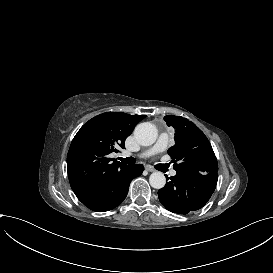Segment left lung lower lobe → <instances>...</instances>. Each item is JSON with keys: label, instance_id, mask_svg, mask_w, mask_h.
<instances>
[{"label": "left lung lower lobe", "instance_id": "obj_1", "mask_svg": "<svg viewBox=\"0 0 273 273\" xmlns=\"http://www.w3.org/2000/svg\"><path fill=\"white\" fill-rule=\"evenodd\" d=\"M176 172V175L170 177V181L158 191L161 204L177 214H187L202 208L215 190L218 174Z\"/></svg>", "mask_w": 273, "mask_h": 273}]
</instances>
